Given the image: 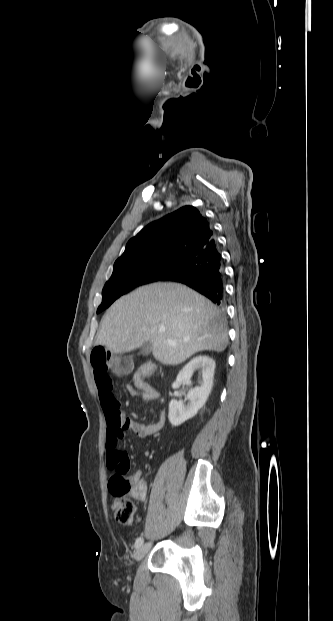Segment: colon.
Returning a JSON list of instances; mask_svg holds the SVG:
<instances>
[{"label": "colon", "mask_w": 333, "mask_h": 621, "mask_svg": "<svg viewBox=\"0 0 333 621\" xmlns=\"http://www.w3.org/2000/svg\"><path fill=\"white\" fill-rule=\"evenodd\" d=\"M156 370L153 363L141 365L135 372L134 379H144L152 375ZM128 469L116 467L112 470L109 480V490L115 497L112 503V510L117 522L131 524L136 519V508L128 497L141 492V487L127 476Z\"/></svg>", "instance_id": "colon-1"}]
</instances>
